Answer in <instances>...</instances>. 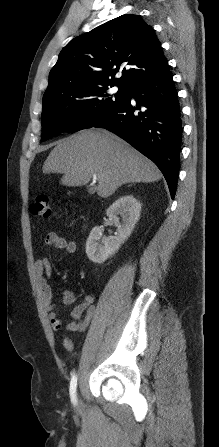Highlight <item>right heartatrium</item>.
<instances>
[{"label":"right heart atrium","instance_id":"1","mask_svg":"<svg viewBox=\"0 0 219 447\" xmlns=\"http://www.w3.org/2000/svg\"><path fill=\"white\" fill-rule=\"evenodd\" d=\"M97 114H98V112H97L96 109H91V110L89 111V115H90L91 117H96Z\"/></svg>","mask_w":219,"mask_h":447}]
</instances>
